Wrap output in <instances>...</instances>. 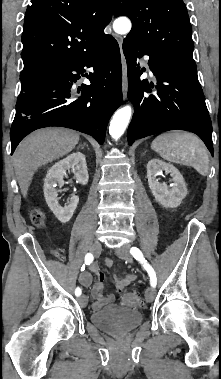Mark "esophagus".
Segmentation results:
<instances>
[{"mask_svg":"<svg viewBox=\"0 0 221 379\" xmlns=\"http://www.w3.org/2000/svg\"><path fill=\"white\" fill-rule=\"evenodd\" d=\"M115 38L119 44L120 51H121V60H122V90H123V99L125 100L127 98V91H128V78H127V64L126 59L124 57L123 51H122V43L123 38L119 35H115Z\"/></svg>","mask_w":221,"mask_h":379,"instance_id":"esophagus-1","label":"esophagus"}]
</instances>
